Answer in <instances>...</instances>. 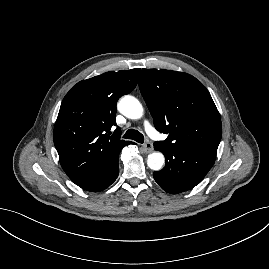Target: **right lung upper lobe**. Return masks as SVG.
<instances>
[{
  "label": "right lung upper lobe",
  "instance_id": "1",
  "mask_svg": "<svg viewBox=\"0 0 269 269\" xmlns=\"http://www.w3.org/2000/svg\"><path fill=\"white\" fill-rule=\"evenodd\" d=\"M140 69L110 71L80 81L64 97L54 126L60 164L76 184L92 177L131 143L120 139L116 104L137 85Z\"/></svg>",
  "mask_w": 269,
  "mask_h": 269
}]
</instances>
